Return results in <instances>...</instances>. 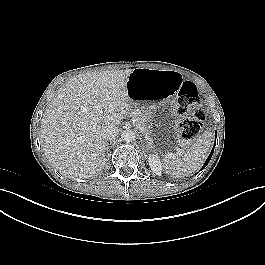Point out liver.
Returning <instances> with one entry per match:
<instances>
[{
    "label": "liver",
    "mask_w": 265,
    "mask_h": 265,
    "mask_svg": "<svg viewBox=\"0 0 265 265\" xmlns=\"http://www.w3.org/2000/svg\"><path fill=\"white\" fill-rule=\"evenodd\" d=\"M133 70L90 72L67 81L41 122L42 148L67 178L86 179L105 167L101 130L118 126L128 107L127 80Z\"/></svg>",
    "instance_id": "6515ba94"
}]
</instances>
